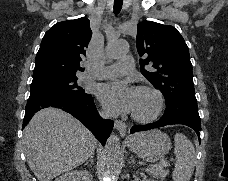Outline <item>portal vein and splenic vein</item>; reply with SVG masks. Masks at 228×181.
Returning <instances> with one entry per match:
<instances>
[{"instance_id": "portal-vein-and-splenic-vein-1", "label": "portal vein and splenic vein", "mask_w": 228, "mask_h": 181, "mask_svg": "<svg viewBox=\"0 0 228 181\" xmlns=\"http://www.w3.org/2000/svg\"><path fill=\"white\" fill-rule=\"evenodd\" d=\"M164 167H168V163H165V161H162V164H151L150 166H143L142 170L145 174H153L154 169H163Z\"/></svg>"}]
</instances>
